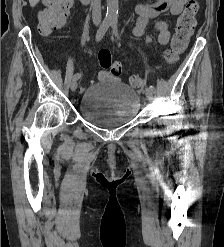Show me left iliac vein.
<instances>
[{
	"instance_id": "1",
	"label": "left iliac vein",
	"mask_w": 224,
	"mask_h": 247,
	"mask_svg": "<svg viewBox=\"0 0 224 247\" xmlns=\"http://www.w3.org/2000/svg\"><path fill=\"white\" fill-rule=\"evenodd\" d=\"M145 95L149 101H153L154 99V92L150 88L145 89Z\"/></svg>"
}]
</instances>
